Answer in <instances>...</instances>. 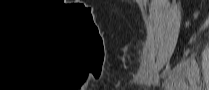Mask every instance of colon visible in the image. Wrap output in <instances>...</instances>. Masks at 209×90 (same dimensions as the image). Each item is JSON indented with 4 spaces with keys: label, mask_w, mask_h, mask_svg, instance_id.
Wrapping results in <instances>:
<instances>
[{
    "label": "colon",
    "mask_w": 209,
    "mask_h": 90,
    "mask_svg": "<svg viewBox=\"0 0 209 90\" xmlns=\"http://www.w3.org/2000/svg\"><path fill=\"white\" fill-rule=\"evenodd\" d=\"M195 16L197 17L198 16V13H195Z\"/></svg>",
    "instance_id": "5ec220e1"
}]
</instances>
